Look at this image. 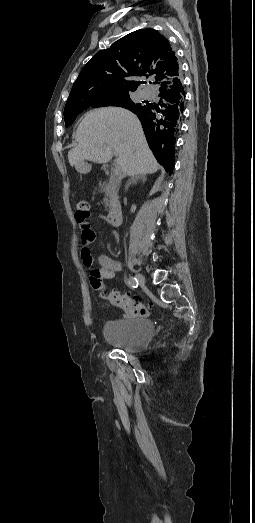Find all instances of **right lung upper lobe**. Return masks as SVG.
Masks as SVG:
<instances>
[{
	"label": "right lung upper lobe",
	"instance_id": "obj_1",
	"mask_svg": "<svg viewBox=\"0 0 255 523\" xmlns=\"http://www.w3.org/2000/svg\"><path fill=\"white\" fill-rule=\"evenodd\" d=\"M131 77L150 78L159 91L158 104L130 100L124 107L137 114L156 159L172 173L185 91L175 52L158 31H134L94 55L80 72L66 104L130 94L143 83Z\"/></svg>",
	"mask_w": 255,
	"mask_h": 523
}]
</instances>
